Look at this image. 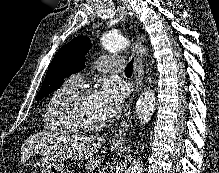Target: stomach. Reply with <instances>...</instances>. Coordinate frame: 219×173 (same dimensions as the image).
<instances>
[{
  "mask_svg": "<svg viewBox=\"0 0 219 173\" xmlns=\"http://www.w3.org/2000/svg\"><path fill=\"white\" fill-rule=\"evenodd\" d=\"M116 150L120 153L122 148L117 147ZM41 173H67L64 168L63 158L53 153L44 155L40 160Z\"/></svg>",
  "mask_w": 219,
  "mask_h": 173,
  "instance_id": "0dacf381",
  "label": "stomach"
}]
</instances>
